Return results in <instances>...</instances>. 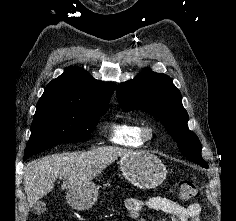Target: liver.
I'll list each match as a JSON object with an SVG mask.
<instances>
[{
  "label": "liver",
  "mask_w": 236,
  "mask_h": 221,
  "mask_svg": "<svg viewBox=\"0 0 236 221\" xmlns=\"http://www.w3.org/2000/svg\"><path fill=\"white\" fill-rule=\"evenodd\" d=\"M129 151L104 146L85 152H66L46 156L31 162L24 172V190L30 206L54 188L57 178L63 180L62 188L70 189L87 184L108 165Z\"/></svg>",
  "instance_id": "obj_1"
}]
</instances>
